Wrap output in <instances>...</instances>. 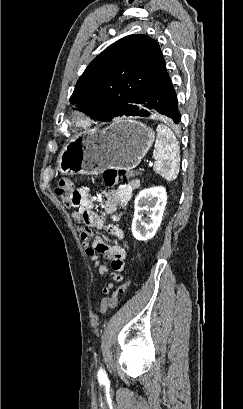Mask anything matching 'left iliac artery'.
I'll list each match as a JSON object with an SVG mask.
<instances>
[{
    "instance_id": "44dca946",
    "label": "left iliac artery",
    "mask_w": 243,
    "mask_h": 409,
    "mask_svg": "<svg viewBox=\"0 0 243 409\" xmlns=\"http://www.w3.org/2000/svg\"><path fill=\"white\" fill-rule=\"evenodd\" d=\"M98 378H99V379H104V378H106V374H105V372L103 371L102 368H101V369L99 370V372H98Z\"/></svg>"
}]
</instances>
